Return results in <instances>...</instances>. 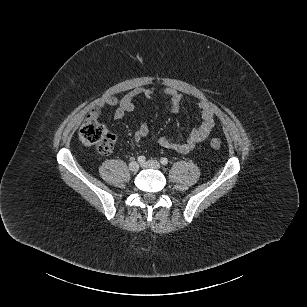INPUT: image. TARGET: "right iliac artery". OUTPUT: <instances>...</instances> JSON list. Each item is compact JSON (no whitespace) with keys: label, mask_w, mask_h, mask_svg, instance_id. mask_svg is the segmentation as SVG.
<instances>
[{"label":"right iliac artery","mask_w":307,"mask_h":307,"mask_svg":"<svg viewBox=\"0 0 307 307\" xmlns=\"http://www.w3.org/2000/svg\"><path fill=\"white\" fill-rule=\"evenodd\" d=\"M145 160H146V158H145L144 156H142V155L139 156V157L137 158V161H138L140 164L144 163Z\"/></svg>","instance_id":"1"}]
</instances>
